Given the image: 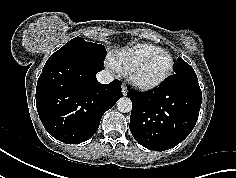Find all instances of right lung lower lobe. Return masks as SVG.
Returning a JSON list of instances; mask_svg holds the SVG:
<instances>
[{
	"label": "right lung lower lobe",
	"mask_w": 236,
	"mask_h": 178,
	"mask_svg": "<svg viewBox=\"0 0 236 178\" xmlns=\"http://www.w3.org/2000/svg\"><path fill=\"white\" fill-rule=\"evenodd\" d=\"M103 59L88 53L50 56L38 79L36 106L47 132L66 144L97 131L103 114L122 97L121 82L101 84Z\"/></svg>",
	"instance_id": "98d812e1"
}]
</instances>
